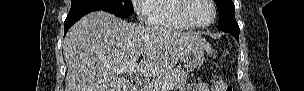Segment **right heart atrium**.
<instances>
[{"mask_svg": "<svg viewBox=\"0 0 304 91\" xmlns=\"http://www.w3.org/2000/svg\"><path fill=\"white\" fill-rule=\"evenodd\" d=\"M153 0H134L133 4L135 7V11L138 14V18L145 22L147 20H151L150 12H149V5L152 3Z\"/></svg>", "mask_w": 304, "mask_h": 91, "instance_id": "1", "label": "right heart atrium"}]
</instances>
